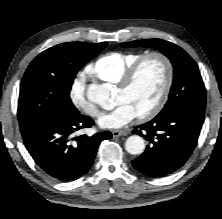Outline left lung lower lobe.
I'll return each instance as SVG.
<instances>
[{
    "mask_svg": "<svg viewBox=\"0 0 222 219\" xmlns=\"http://www.w3.org/2000/svg\"><path fill=\"white\" fill-rule=\"evenodd\" d=\"M203 122L204 113L178 107L136 127L132 132L143 136L148 146L132 161L133 167L150 177L176 171L193 152Z\"/></svg>",
    "mask_w": 222,
    "mask_h": 219,
    "instance_id": "0a47b994",
    "label": "left lung lower lobe"
}]
</instances>
